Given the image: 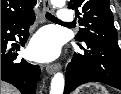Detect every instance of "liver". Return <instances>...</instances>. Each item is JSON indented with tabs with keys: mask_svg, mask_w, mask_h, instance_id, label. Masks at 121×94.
<instances>
[{
	"mask_svg": "<svg viewBox=\"0 0 121 94\" xmlns=\"http://www.w3.org/2000/svg\"><path fill=\"white\" fill-rule=\"evenodd\" d=\"M1 94H20L19 91L10 84L1 81Z\"/></svg>",
	"mask_w": 121,
	"mask_h": 94,
	"instance_id": "1",
	"label": "liver"
}]
</instances>
